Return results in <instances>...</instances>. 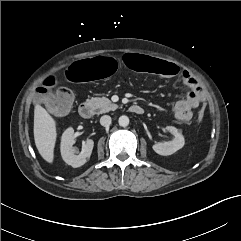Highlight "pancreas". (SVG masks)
Listing matches in <instances>:
<instances>
[{"mask_svg": "<svg viewBox=\"0 0 241 241\" xmlns=\"http://www.w3.org/2000/svg\"><path fill=\"white\" fill-rule=\"evenodd\" d=\"M88 102L94 107L97 114L107 113L114 111L118 108L117 104L112 103L106 97H95L88 100Z\"/></svg>", "mask_w": 241, "mask_h": 241, "instance_id": "1", "label": "pancreas"}]
</instances>
